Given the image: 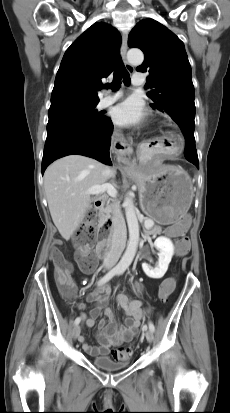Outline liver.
<instances>
[{
	"label": "liver",
	"mask_w": 230,
	"mask_h": 413,
	"mask_svg": "<svg viewBox=\"0 0 230 413\" xmlns=\"http://www.w3.org/2000/svg\"><path fill=\"white\" fill-rule=\"evenodd\" d=\"M105 168L93 158L74 154L53 162L46 169L44 189L48 207L65 240L70 239L90 208L92 200L86 191L94 185L106 184Z\"/></svg>",
	"instance_id": "6515ba94"
}]
</instances>
